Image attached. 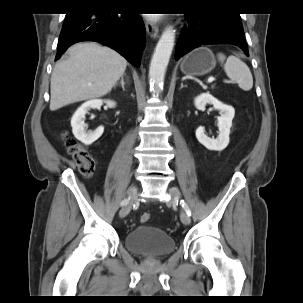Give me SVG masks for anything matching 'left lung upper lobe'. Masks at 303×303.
<instances>
[{"instance_id": "left-lung-upper-lobe-1", "label": "left lung upper lobe", "mask_w": 303, "mask_h": 303, "mask_svg": "<svg viewBox=\"0 0 303 303\" xmlns=\"http://www.w3.org/2000/svg\"><path fill=\"white\" fill-rule=\"evenodd\" d=\"M213 14H216L221 17H230V18H237L240 19V15L238 13H230V12H221V11H214Z\"/></svg>"}]
</instances>
